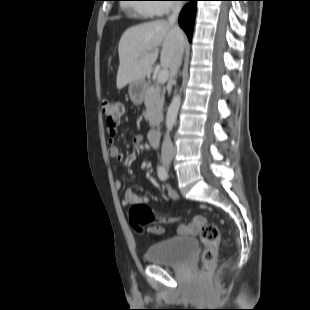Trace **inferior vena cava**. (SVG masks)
Wrapping results in <instances>:
<instances>
[{
    "label": "inferior vena cava",
    "mask_w": 310,
    "mask_h": 310,
    "mask_svg": "<svg viewBox=\"0 0 310 310\" xmlns=\"http://www.w3.org/2000/svg\"><path fill=\"white\" fill-rule=\"evenodd\" d=\"M181 10V4L176 3L172 7V14L168 17V22L172 25H174L177 21L179 12ZM177 27V26H176ZM178 29V27H177ZM178 35L179 37L182 36L181 31L178 29ZM182 56H183V46L180 44L178 46V50L176 53V56L173 60V63L170 67L171 76H175L177 74V71L179 70L181 63H182ZM162 156H167L169 154L173 155L175 153V148L173 147V144L168 136L165 137L163 144H162Z\"/></svg>",
    "instance_id": "obj_1"
}]
</instances>
